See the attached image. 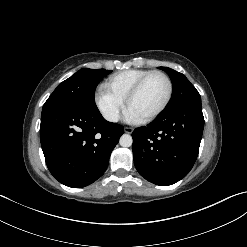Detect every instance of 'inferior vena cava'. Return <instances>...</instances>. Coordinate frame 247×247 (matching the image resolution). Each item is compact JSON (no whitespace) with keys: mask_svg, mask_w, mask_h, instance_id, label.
<instances>
[{"mask_svg":"<svg viewBox=\"0 0 247 247\" xmlns=\"http://www.w3.org/2000/svg\"><path fill=\"white\" fill-rule=\"evenodd\" d=\"M104 118L110 122H118L119 115L117 113H109L104 116Z\"/></svg>","mask_w":247,"mask_h":247,"instance_id":"1","label":"inferior vena cava"}]
</instances>
